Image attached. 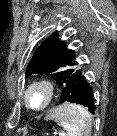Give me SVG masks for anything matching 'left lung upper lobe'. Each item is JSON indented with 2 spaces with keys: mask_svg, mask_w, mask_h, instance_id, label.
I'll return each instance as SVG.
<instances>
[{
  "mask_svg": "<svg viewBox=\"0 0 117 136\" xmlns=\"http://www.w3.org/2000/svg\"><path fill=\"white\" fill-rule=\"evenodd\" d=\"M74 50L67 49L64 41L58 39V33L50 35L36 50L31 59L26 77L30 74L52 76L56 82L64 87L78 65Z\"/></svg>",
  "mask_w": 117,
  "mask_h": 136,
  "instance_id": "5c2ea615",
  "label": "left lung upper lobe"
}]
</instances>
